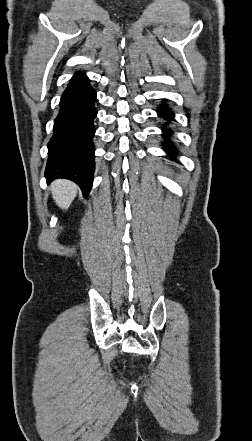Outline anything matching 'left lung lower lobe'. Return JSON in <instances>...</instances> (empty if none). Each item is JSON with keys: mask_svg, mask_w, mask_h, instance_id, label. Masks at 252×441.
<instances>
[{"mask_svg": "<svg viewBox=\"0 0 252 441\" xmlns=\"http://www.w3.org/2000/svg\"><path fill=\"white\" fill-rule=\"evenodd\" d=\"M158 116L161 118H164L166 121L170 122L174 118V113L172 110L166 105L162 104L159 106L158 110ZM172 134V130L170 128H163V137L168 138ZM163 146L167 153H176L175 146L171 141H165L163 142Z\"/></svg>", "mask_w": 252, "mask_h": 441, "instance_id": "obj_1", "label": "left lung lower lobe"}]
</instances>
